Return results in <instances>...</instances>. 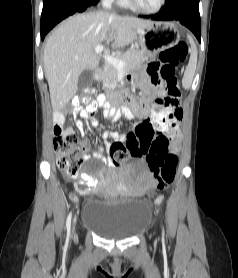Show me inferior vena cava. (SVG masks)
I'll return each instance as SVG.
<instances>
[{
  "label": "inferior vena cava",
  "instance_id": "obj_1",
  "mask_svg": "<svg viewBox=\"0 0 238 278\" xmlns=\"http://www.w3.org/2000/svg\"><path fill=\"white\" fill-rule=\"evenodd\" d=\"M113 0H102V5L103 7L109 9L111 8Z\"/></svg>",
  "mask_w": 238,
  "mask_h": 278
}]
</instances>
